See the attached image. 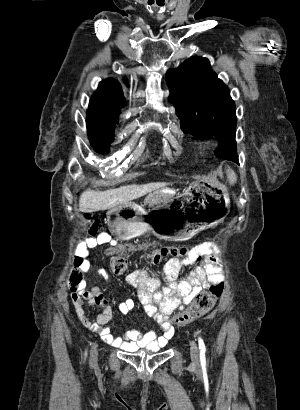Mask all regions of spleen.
<instances>
[{"instance_id": "1", "label": "spleen", "mask_w": 300, "mask_h": 410, "mask_svg": "<svg viewBox=\"0 0 300 410\" xmlns=\"http://www.w3.org/2000/svg\"><path fill=\"white\" fill-rule=\"evenodd\" d=\"M229 179L231 182H234L236 180V177L232 171H229Z\"/></svg>"}]
</instances>
